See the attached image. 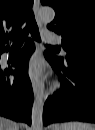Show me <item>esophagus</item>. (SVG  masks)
I'll use <instances>...</instances> for the list:
<instances>
[{"mask_svg": "<svg viewBox=\"0 0 95 130\" xmlns=\"http://www.w3.org/2000/svg\"><path fill=\"white\" fill-rule=\"evenodd\" d=\"M39 5H40V1L39 0H34V13H35V17H36L38 25L40 27H42V22L38 18ZM32 88H33L34 95H38L40 90H39V82H38L37 79L32 81Z\"/></svg>", "mask_w": 95, "mask_h": 130, "instance_id": "esophagus-1", "label": "esophagus"}]
</instances>
